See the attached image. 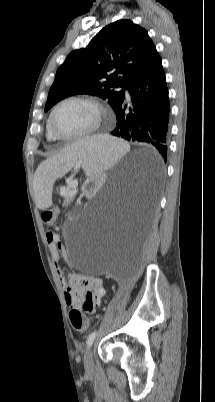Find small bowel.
Instances as JSON below:
<instances>
[{"mask_svg": "<svg viewBox=\"0 0 215 402\" xmlns=\"http://www.w3.org/2000/svg\"><path fill=\"white\" fill-rule=\"evenodd\" d=\"M46 239L49 244L50 253L57 267L66 304L70 308H84L85 300L89 295L94 311L106 294L102 279L86 277L78 273L70 274L66 279L59 267L60 257L66 254L60 236L55 231L48 230L46 232Z\"/></svg>", "mask_w": 215, "mask_h": 402, "instance_id": "c3829d8e", "label": "small bowel"}]
</instances>
